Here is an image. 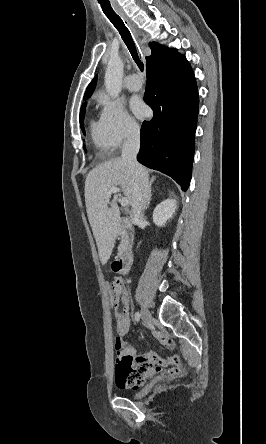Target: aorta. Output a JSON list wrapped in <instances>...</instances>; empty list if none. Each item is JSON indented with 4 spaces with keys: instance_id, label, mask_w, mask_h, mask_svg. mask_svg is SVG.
Instances as JSON below:
<instances>
[{
    "instance_id": "762f6f07",
    "label": "aorta",
    "mask_w": 266,
    "mask_h": 444,
    "mask_svg": "<svg viewBox=\"0 0 266 444\" xmlns=\"http://www.w3.org/2000/svg\"><path fill=\"white\" fill-rule=\"evenodd\" d=\"M123 61L118 56L109 59L105 72V88L111 98H117L121 92Z\"/></svg>"
}]
</instances>
